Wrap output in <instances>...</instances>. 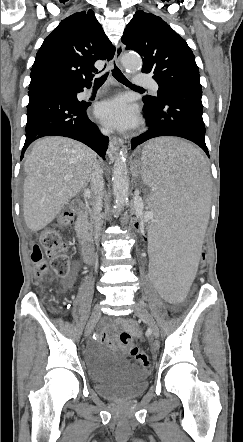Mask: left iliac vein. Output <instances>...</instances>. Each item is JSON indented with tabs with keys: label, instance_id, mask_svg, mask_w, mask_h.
<instances>
[{
	"label": "left iliac vein",
	"instance_id": "left-iliac-vein-1",
	"mask_svg": "<svg viewBox=\"0 0 243 442\" xmlns=\"http://www.w3.org/2000/svg\"><path fill=\"white\" fill-rule=\"evenodd\" d=\"M135 314L144 322L147 324L148 328L150 329L152 335L155 339L159 337V328L158 325L153 317V315L142 305H137L135 307ZM154 346H158L157 340L154 341Z\"/></svg>",
	"mask_w": 243,
	"mask_h": 442
}]
</instances>
